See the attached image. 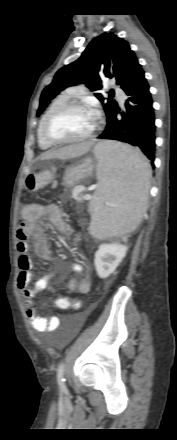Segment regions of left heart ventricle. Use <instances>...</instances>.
Listing matches in <instances>:
<instances>
[{
  "label": "left heart ventricle",
  "instance_id": "obj_1",
  "mask_svg": "<svg viewBox=\"0 0 177 440\" xmlns=\"http://www.w3.org/2000/svg\"><path fill=\"white\" fill-rule=\"evenodd\" d=\"M94 126L92 115L85 110H70L59 115L50 125V133L60 139H79Z\"/></svg>",
  "mask_w": 177,
  "mask_h": 440
}]
</instances>
